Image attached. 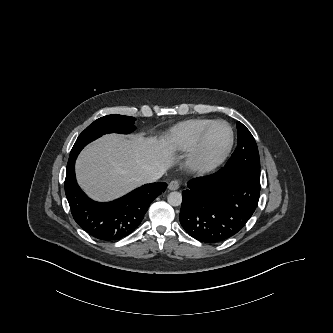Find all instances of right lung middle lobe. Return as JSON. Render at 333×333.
I'll use <instances>...</instances> for the list:
<instances>
[{
  "label": "right lung middle lobe",
  "instance_id": "dd1d6c3e",
  "mask_svg": "<svg viewBox=\"0 0 333 333\" xmlns=\"http://www.w3.org/2000/svg\"><path fill=\"white\" fill-rule=\"evenodd\" d=\"M135 118L123 115H107L101 117L89 125L77 138L68 160V163L76 160L79 152L91 141L107 133L128 134L135 130Z\"/></svg>",
  "mask_w": 333,
  "mask_h": 333
}]
</instances>
